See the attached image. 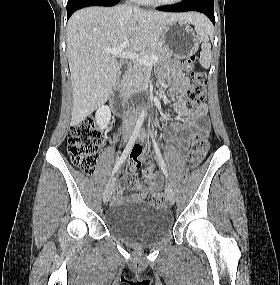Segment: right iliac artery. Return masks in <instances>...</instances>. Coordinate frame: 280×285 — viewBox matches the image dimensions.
I'll return each instance as SVG.
<instances>
[{"label": "right iliac artery", "mask_w": 280, "mask_h": 285, "mask_svg": "<svg viewBox=\"0 0 280 285\" xmlns=\"http://www.w3.org/2000/svg\"><path fill=\"white\" fill-rule=\"evenodd\" d=\"M142 124H143V117H140L138 120H137V123L135 125V128L133 130V133L121 155V157L118 159V161L116 162L113 170H112V174L111 176H113L118 170L119 168L122 166V164L124 163V161L126 160L129 152L131 151L138 135H139V132L141 130V127H142Z\"/></svg>", "instance_id": "1"}]
</instances>
